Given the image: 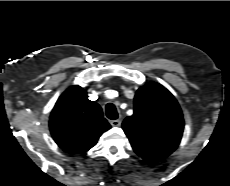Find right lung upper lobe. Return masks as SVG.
I'll return each mask as SVG.
<instances>
[{"instance_id": "obj_1", "label": "right lung upper lobe", "mask_w": 230, "mask_h": 186, "mask_svg": "<svg viewBox=\"0 0 230 186\" xmlns=\"http://www.w3.org/2000/svg\"><path fill=\"white\" fill-rule=\"evenodd\" d=\"M54 141L69 153L92 148L101 134L111 128L101 107L88 99L79 86L68 88L58 99L49 121Z\"/></svg>"}]
</instances>
